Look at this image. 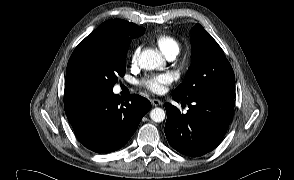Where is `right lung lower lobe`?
Instances as JSON below:
<instances>
[{
    "instance_id": "right-lung-lower-lobe-1",
    "label": "right lung lower lobe",
    "mask_w": 294,
    "mask_h": 180,
    "mask_svg": "<svg viewBox=\"0 0 294 180\" xmlns=\"http://www.w3.org/2000/svg\"><path fill=\"white\" fill-rule=\"evenodd\" d=\"M64 108L79 141L94 152L108 153L128 142L151 103L136 94L123 100L113 91H98L65 96Z\"/></svg>"
}]
</instances>
